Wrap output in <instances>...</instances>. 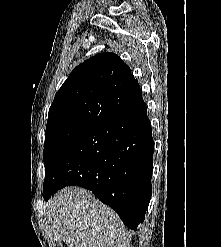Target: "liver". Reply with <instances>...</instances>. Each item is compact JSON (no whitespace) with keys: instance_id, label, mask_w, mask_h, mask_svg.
Listing matches in <instances>:
<instances>
[{"instance_id":"liver-1","label":"liver","mask_w":221,"mask_h":247,"mask_svg":"<svg viewBox=\"0 0 221 247\" xmlns=\"http://www.w3.org/2000/svg\"><path fill=\"white\" fill-rule=\"evenodd\" d=\"M46 215L68 247H130L117 214L83 188L60 190L46 203Z\"/></svg>"}]
</instances>
